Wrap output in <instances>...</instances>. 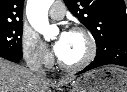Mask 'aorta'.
<instances>
[{
  "label": "aorta",
  "instance_id": "762f6f07",
  "mask_svg": "<svg viewBox=\"0 0 127 92\" xmlns=\"http://www.w3.org/2000/svg\"><path fill=\"white\" fill-rule=\"evenodd\" d=\"M52 3L53 0H28L26 6L29 23L46 40L57 32L56 26L50 25L48 21V10Z\"/></svg>",
  "mask_w": 127,
  "mask_h": 92
}]
</instances>
